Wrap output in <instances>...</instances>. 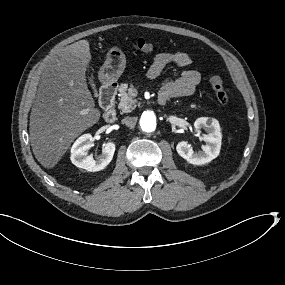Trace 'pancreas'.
I'll list each match as a JSON object with an SVG mask.
<instances>
[{"mask_svg": "<svg viewBox=\"0 0 285 285\" xmlns=\"http://www.w3.org/2000/svg\"><path fill=\"white\" fill-rule=\"evenodd\" d=\"M137 105L136 100H132L127 93H124L121 96V104L120 107L122 108L123 112H132ZM193 109H199L201 106L200 104H191Z\"/></svg>", "mask_w": 285, "mask_h": 285, "instance_id": "cf45deb5", "label": "pancreas"}]
</instances>
